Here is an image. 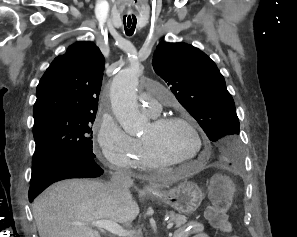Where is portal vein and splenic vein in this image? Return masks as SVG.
Instances as JSON below:
<instances>
[{
	"mask_svg": "<svg viewBox=\"0 0 297 237\" xmlns=\"http://www.w3.org/2000/svg\"><path fill=\"white\" fill-rule=\"evenodd\" d=\"M173 224H174L173 222H168L167 229H171L173 227ZM91 225L97 228H103L108 232L119 237H127L134 233V232L125 230L122 226H120L116 222L108 221V220L93 221L91 222Z\"/></svg>",
	"mask_w": 297,
	"mask_h": 237,
	"instance_id": "obj_1",
	"label": "portal vein and splenic vein"
}]
</instances>
